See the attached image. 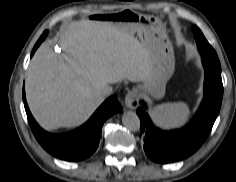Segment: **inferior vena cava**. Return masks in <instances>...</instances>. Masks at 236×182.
<instances>
[{
	"label": "inferior vena cava",
	"mask_w": 236,
	"mask_h": 182,
	"mask_svg": "<svg viewBox=\"0 0 236 182\" xmlns=\"http://www.w3.org/2000/svg\"><path fill=\"white\" fill-rule=\"evenodd\" d=\"M113 92V87L110 85H105L102 89H101V93L104 96H108Z\"/></svg>",
	"instance_id": "obj_1"
}]
</instances>
